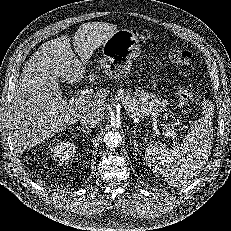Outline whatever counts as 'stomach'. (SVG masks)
<instances>
[{"mask_svg": "<svg viewBox=\"0 0 231 231\" xmlns=\"http://www.w3.org/2000/svg\"><path fill=\"white\" fill-rule=\"evenodd\" d=\"M140 47L139 39L131 30H116L102 45L101 68L111 79L124 78L140 56Z\"/></svg>", "mask_w": 231, "mask_h": 231, "instance_id": "stomach-1", "label": "stomach"}]
</instances>
